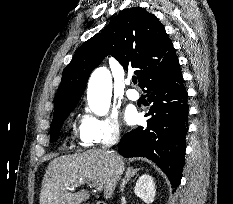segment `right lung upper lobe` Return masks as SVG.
<instances>
[{
  "label": "right lung upper lobe",
  "mask_w": 233,
  "mask_h": 204,
  "mask_svg": "<svg viewBox=\"0 0 233 204\" xmlns=\"http://www.w3.org/2000/svg\"><path fill=\"white\" fill-rule=\"evenodd\" d=\"M109 54L125 70L136 69L142 87L178 63L172 41L158 18L141 7L125 9L101 33L81 45L65 67L54 99L53 119L76 106L91 72Z\"/></svg>",
  "instance_id": "cb5924a9"
}]
</instances>
